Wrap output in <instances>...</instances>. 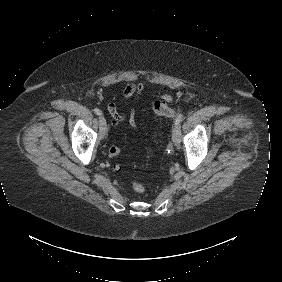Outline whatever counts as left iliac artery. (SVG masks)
<instances>
[{"label":"left iliac artery","instance_id":"1","mask_svg":"<svg viewBox=\"0 0 282 282\" xmlns=\"http://www.w3.org/2000/svg\"><path fill=\"white\" fill-rule=\"evenodd\" d=\"M182 119H183V114H180V115L176 118L175 125L180 124V122L182 121Z\"/></svg>","mask_w":282,"mask_h":282}]
</instances>
